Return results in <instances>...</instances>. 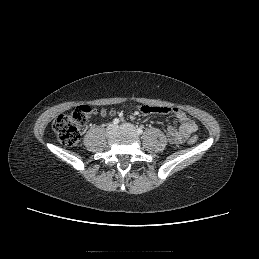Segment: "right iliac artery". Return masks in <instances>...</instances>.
I'll return each instance as SVG.
<instances>
[{
	"label": "right iliac artery",
	"instance_id": "82829eb1",
	"mask_svg": "<svg viewBox=\"0 0 259 259\" xmlns=\"http://www.w3.org/2000/svg\"><path fill=\"white\" fill-rule=\"evenodd\" d=\"M119 122H120V120H119L118 118H115V119L113 120V124H115V125L119 124Z\"/></svg>",
	"mask_w": 259,
	"mask_h": 259
}]
</instances>
